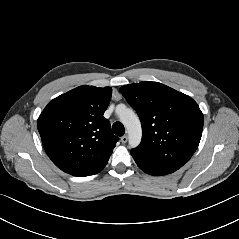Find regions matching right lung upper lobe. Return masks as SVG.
Returning a JSON list of instances; mask_svg holds the SVG:
<instances>
[{
  "instance_id": "cb5924a9",
  "label": "right lung upper lobe",
  "mask_w": 239,
  "mask_h": 239,
  "mask_svg": "<svg viewBox=\"0 0 239 239\" xmlns=\"http://www.w3.org/2000/svg\"><path fill=\"white\" fill-rule=\"evenodd\" d=\"M112 88L79 86L45 107L37 121L43 147L62 171L84 177L102 171L118 137L103 114Z\"/></svg>"
}]
</instances>
